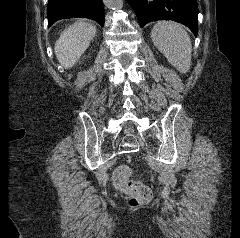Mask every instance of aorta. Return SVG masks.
<instances>
[{"mask_svg": "<svg viewBox=\"0 0 240 238\" xmlns=\"http://www.w3.org/2000/svg\"><path fill=\"white\" fill-rule=\"evenodd\" d=\"M110 8L121 9L123 7V0H105Z\"/></svg>", "mask_w": 240, "mask_h": 238, "instance_id": "1", "label": "aorta"}]
</instances>
